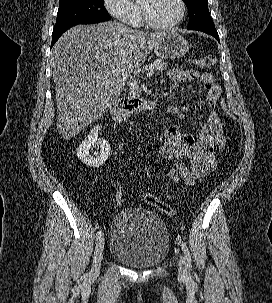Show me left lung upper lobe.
Here are the masks:
<instances>
[{
	"instance_id": "left-lung-upper-lobe-1",
	"label": "left lung upper lobe",
	"mask_w": 272,
	"mask_h": 303,
	"mask_svg": "<svg viewBox=\"0 0 272 303\" xmlns=\"http://www.w3.org/2000/svg\"><path fill=\"white\" fill-rule=\"evenodd\" d=\"M188 8V30L215 28L208 10V0H184Z\"/></svg>"
}]
</instances>
